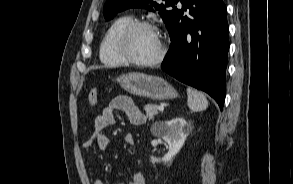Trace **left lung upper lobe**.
I'll use <instances>...</instances> for the list:
<instances>
[{
  "mask_svg": "<svg viewBox=\"0 0 293 184\" xmlns=\"http://www.w3.org/2000/svg\"><path fill=\"white\" fill-rule=\"evenodd\" d=\"M163 1H165V3L158 4L153 0H107L103 12L106 19H111L118 12L128 8H144L149 11H158L165 22L166 28L169 29L174 12L177 9L175 4H177L179 0ZM170 7H172V9Z\"/></svg>",
  "mask_w": 293,
  "mask_h": 184,
  "instance_id": "obj_1",
  "label": "left lung upper lobe"
}]
</instances>
